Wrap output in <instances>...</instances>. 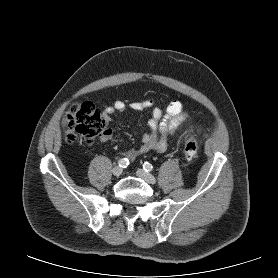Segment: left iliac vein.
I'll list each match as a JSON object with an SVG mask.
<instances>
[{"label": "left iliac vein", "mask_w": 278, "mask_h": 278, "mask_svg": "<svg viewBox=\"0 0 278 278\" xmlns=\"http://www.w3.org/2000/svg\"><path fill=\"white\" fill-rule=\"evenodd\" d=\"M136 174H137L138 177L145 180L149 184L153 185V184L156 183L155 177L152 174H149V173L145 172L143 169H138L136 171Z\"/></svg>", "instance_id": "left-iliac-vein-1"}]
</instances>
